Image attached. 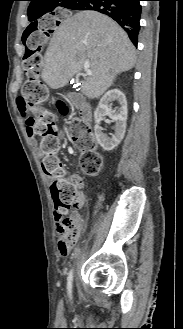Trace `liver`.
<instances>
[{
  "mask_svg": "<svg viewBox=\"0 0 183 329\" xmlns=\"http://www.w3.org/2000/svg\"><path fill=\"white\" fill-rule=\"evenodd\" d=\"M135 60V47L115 21L96 11H82L68 17L54 32L41 78L58 89L82 74L86 78L81 92L94 99L112 86L118 74L132 69ZM86 65L92 75L82 73Z\"/></svg>",
  "mask_w": 183,
  "mask_h": 329,
  "instance_id": "obj_1",
  "label": "liver"
}]
</instances>
